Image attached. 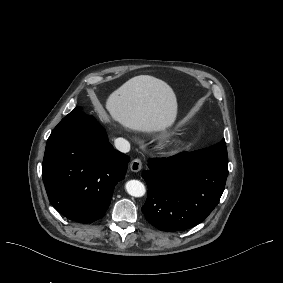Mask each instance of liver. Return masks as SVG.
I'll return each mask as SVG.
<instances>
[{"instance_id": "1", "label": "liver", "mask_w": 283, "mask_h": 283, "mask_svg": "<svg viewBox=\"0 0 283 283\" xmlns=\"http://www.w3.org/2000/svg\"><path fill=\"white\" fill-rule=\"evenodd\" d=\"M111 120L129 132L156 134L173 128L178 100L164 80L142 74L131 77L113 90L104 102Z\"/></svg>"}]
</instances>
